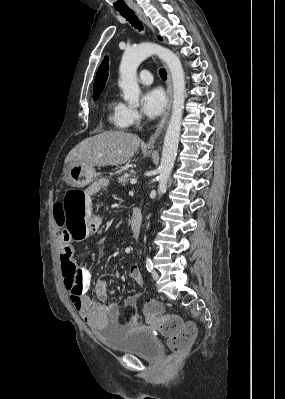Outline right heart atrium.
Returning <instances> with one entry per match:
<instances>
[{
    "instance_id": "d8ad5b80",
    "label": "right heart atrium",
    "mask_w": 285,
    "mask_h": 399,
    "mask_svg": "<svg viewBox=\"0 0 285 399\" xmlns=\"http://www.w3.org/2000/svg\"><path fill=\"white\" fill-rule=\"evenodd\" d=\"M140 120V113L133 107H127V123L133 125Z\"/></svg>"
}]
</instances>
